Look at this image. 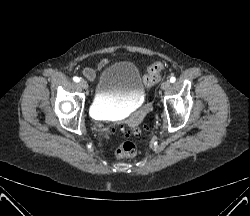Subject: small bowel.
<instances>
[{
	"instance_id": "1",
	"label": "small bowel",
	"mask_w": 250,
	"mask_h": 216,
	"mask_svg": "<svg viewBox=\"0 0 250 216\" xmlns=\"http://www.w3.org/2000/svg\"><path fill=\"white\" fill-rule=\"evenodd\" d=\"M105 62H103L101 65H103ZM83 74L86 78H88L89 80H93L96 76V71L94 69L91 68H86L83 71Z\"/></svg>"
}]
</instances>
